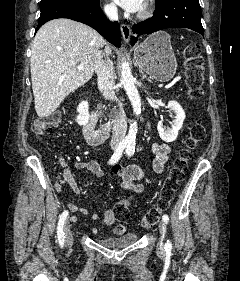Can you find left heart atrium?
<instances>
[{
    "label": "left heart atrium",
    "instance_id": "39dd6f15",
    "mask_svg": "<svg viewBox=\"0 0 240 281\" xmlns=\"http://www.w3.org/2000/svg\"><path fill=\"white\" fill-rule=\"evenodd\" d=\"M115 2L129 12H138L144 5V0H115Z\"/></svg>",
    "mask_w": 240,
    "mask_h": 281
}]
</instances>
